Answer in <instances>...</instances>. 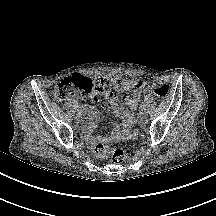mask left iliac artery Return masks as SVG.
Segmentation results:
<instances>
[{
    "mask_svg": "<svg viewBox=\"0 0 216 216\" xmlns=\"http://www.w3.org/2000/svg\"><path fill=\"white\" fill-rule=\"evenodd\" d=\"M140 112H144L145 111V108L143 106H141L139 109H138Z\"/></svg>",
    "mask_w": 216,
    "mask_h": 216,
    "instance_id": "44dca946",
    "label": "left iliac artery"
}]
</instances>
